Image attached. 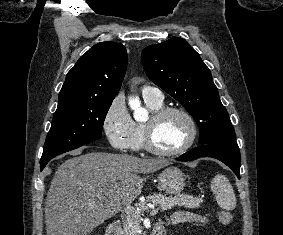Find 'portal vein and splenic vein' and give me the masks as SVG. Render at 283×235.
Masks as SVG:
<instances>
[{
	"mask_svg": "<svg viewBox=\"0 0 283 235\" xmlns=\"http://www.w3.org/2000/svg\"><path fill=\"white\" fill-rule=\"evenodd\" d=\"M90 206H92V205H90ZM150 208H151L150 215L153 216V215H156L158 213L159 208H154V206H151ZM124 212L126 213L127 216H130V215L138 214L139 209H136V208H134L133 206H130V205H126L124 207Z\"/></svg>",
	"mask_w": 283,
	"mask_h": 235,
	"instance_id": "1",
	"label": "portal vein and splenic vein"
}]
</instances>
